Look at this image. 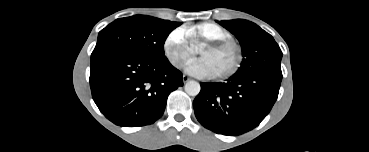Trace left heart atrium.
I'll return each mask as SVG.
<instances>
[{"instance_id": "obj_1", "label": "left heart atrium", "mask_w": 369, "mask_h": 152, "mask_svg": "<svg viewBox=\"0 0 369 152\" xmlns=\"http://www.w3.org/2000/svg\"><path fill=\"white\" fill-rule=\"evenodd\" d=\"M185 70L187 73L196 77H213V73L210 69L209 64L203 59L193 60L189 62L186 65Z\"/></svg>"}]
</instances>
